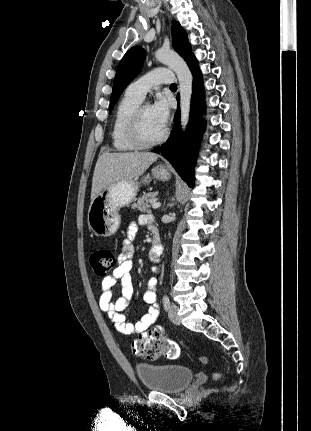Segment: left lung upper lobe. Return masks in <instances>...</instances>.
<instances>
[{
	"label": "left lung upper lobe",
	"instance_id": "5c2ea615",
	"mask_svg": "<svg viewBox=\"0 0 311 431\" xmlns=\"http://www.w3.org/2000/svg\"><path fill=\"white\" fill-rule=\"evenodd\" d=\"M172 45L174 50L188 63L194 56L188 42L187 33L177 21H172ZM145 60V51L139 47L129 49L121 59L113 84L109 112L127 85L139 74Z\"/></svg>",
	"mask_w": 311,
	"mask_h": 431
}]
</instances>
